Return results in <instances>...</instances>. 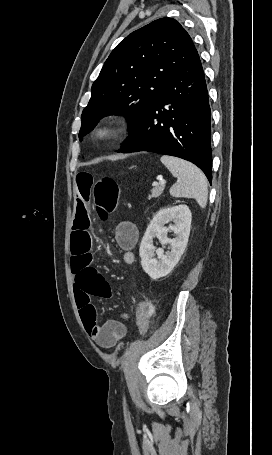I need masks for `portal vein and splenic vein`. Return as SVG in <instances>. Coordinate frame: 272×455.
Masks as SVG:
<instances>
[{"instance_id": "portal-vein-and-splenic-vein-1", "label": "portal vein and splenic vein", "mask_w": 272, "mask_h": 455, "mask_svg": "<svg viewBox=\"0 0 272 455\" xmlns=\"http://www.w3.org/2000/svg\"><path fill=\"white\" fill-rule=\"evenodd\" d=\"M165 184H166V181H165L164 179H162V180L160 181V185L165 186Z\"/></svg>"}]
</instances>
